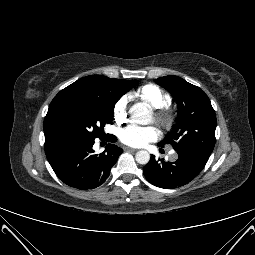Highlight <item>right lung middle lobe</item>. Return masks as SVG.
I'll list each match as a JSON object with an SVG mask.
<instances>
[{
	"label": "right lung middle lobe",
	"mask_w": 255,
	"mask_h": 255,
	"mask_svg": "<svg viewBox=\"0 0 255 255\" xmlns=\"http://www.w3.org/2000/svg\"><path fill=\"white\" fill-rule=\"evenodd\" d=\"M137 84V80H122L120 85L104 94L85 95L68 102L56 120L61 138L101 137L106 124L113 120L115 103Z\"/></svg>",
	"instance_id": "right-lung-middle-lobe-1"
}]
</instances>
